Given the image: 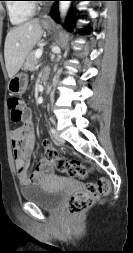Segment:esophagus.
Masks as SVG:
<instances>
[{"label": "esophagus", "mask_w": 133, "mask_h": 253, "mask_svg": "<svg viewBox=\"0 0 133 253\" xmlns=\"http://www.w3.org/2000/svg\"><path fill=\"white\" fill-rule=\"evenodd\" d=\"M43 19L48 20V19H49V16L45 15V16L43 17Z\"/></svg>", "instance_id": "obj_1"}]
</instances>
